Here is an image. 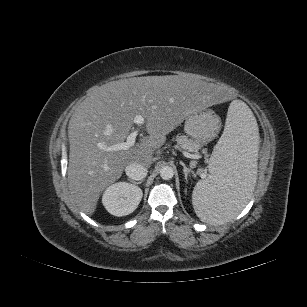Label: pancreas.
Returning a JSON list of instances; mask_svg holds the SVG:
<instances>
[{
	"label": "pancreas",
	"mask_w": 307,
	"mask_h": 307,
	"mask_svg": "<svg viewBox=\"0 0 307 307\" xmlns=\"http://www.w3.org/2000/svg\"><path fill=\"white\" fill-rule=\"evenodd\" d=\"M175 141L181 149L188 152H197L201 147V144L198 141L190 139L186 135H177Z\"/></svg>",
	"instance_id": "cf45deb5"
}]
</instances>
